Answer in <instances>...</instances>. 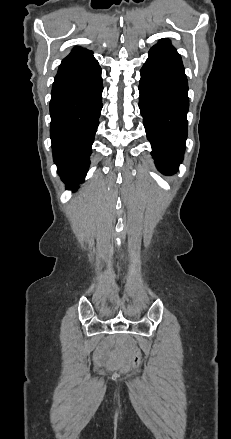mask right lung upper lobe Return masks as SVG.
<instances>
[{
    "instance_id": "cb5924a9",
    "label": "right lung upper lobe",
    "mask_w": 231,
    "mask_h": 439,
    "mask_svg": "<svg viewBox=\"0 0 231 439\" xmlns=\"http://www.w3.org/2000/svg\"><path fill=\"white\" fill-rule=\"evenodd\" d=\"M92 54L93 52L90 50H86L81 47H76L66 58L63 59V61L59 66L58 71H62L70 67H73L75 65H78L81 62L85 61L86 59L92 57L93 56Z\"/></svg>"
}]
</instances>
